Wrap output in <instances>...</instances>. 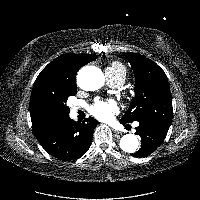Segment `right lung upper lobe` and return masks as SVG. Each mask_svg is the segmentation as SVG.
<instances>
[{"mask_svg":"<svg viewBox=\"0 0 200 200\" xmlns=\"http://www.w3.org/2000/svg\"><path fill=\"white\" fill-rule=\"evenodd\" d=\"M94 54H64L48 64L34 82L29 109L34 124L42 118L39 114L40 101L47 95H61L67 89L77 86L75 82L78 70L95 60Z\"/></svg>","mask_w":200,"mask_h":200,"instance_id":"right-lung-upper-lobe-1","label":"right lung upper lobe"}]
</instances>
